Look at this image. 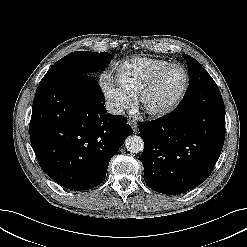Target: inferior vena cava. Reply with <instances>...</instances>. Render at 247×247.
<instances>
[{
  "label": "inferior vena cava",
  "instance_id": "obj_1",
  "mask_svg": "<svg viewBox=\"0 0 247 247\" xmlns=\"http://www.w3.org/2000/svg\"><path fill=\"white\" fill-rule=\"evenodd\" d=\"M105 108L107 112L112 115H120L123 112V109L119 104L110 101L105 102Z\"/></svg>",
  "mask_w": 247,
  "mask_h": 247
}]
</instances>
